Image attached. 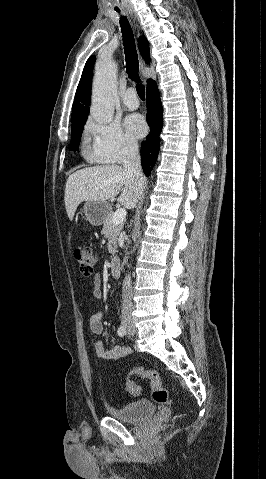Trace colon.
I'll return each mask as SVG.
<instances>
[{"mask_svg": "<svg viewBox=\"0 0 266 479\" xmlns=\"http://www.w3.org/2000/svg\"><path fill=\"white\" fill-rule=\"evenodd\" d=\"M74 258L79 266V271L84 276H90L98 262V255L89 247H77L74 250ZM132 375L149 380L152 387V398L161 405H169L172 398L166 388L163 387L160 375L157 371L147 370L141 367L131 369L125 376V387L132 395L140 393V387L131 380Z\"/></svg>", "mask_w": 266, "mask_h": 479, "instance_id": "1", "label": "colon"}]
</instances>
